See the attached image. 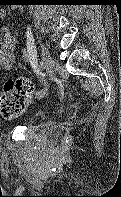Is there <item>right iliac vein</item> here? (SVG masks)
Here are the masks:
<instances>
[{
	"instance_id": "obj_1",
	"label": "right iliac vein",
	"mask_w": 121,
	"mask_h": 197,
	"mask_svg": "<svg viewBox=\"0 0 121 197\" xmlns=\"http://www.w3.org/2000/svg\"><path fill=\"white\" fill-rule=\"evenodd\" d=\"M41 45V51H42V60L44 63V69L48 75H51L53 73L54 69V60L49 52V50L46 48V46L40 42Z\"/></svg>"
}]
</instances>
